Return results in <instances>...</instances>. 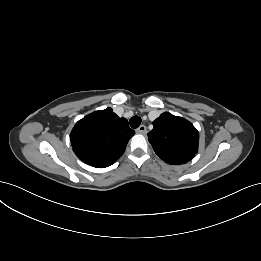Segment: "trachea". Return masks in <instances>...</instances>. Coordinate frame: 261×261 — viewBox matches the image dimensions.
<instances>
[{
  "label": "trachea",
  "instance_id": "3493384b",
  "mask_svg": "<svg viewBox=\"0 0 261 261\" xmlns=\"http://www.w3.org/2000/svg\"><path fill=\"white\" fill-rule=\"evenodd\" d=\"M130 126L132 128H138L141 124V118L139 116H133L131 119H130Z\"/></svg>",
  "mask_w": 261,
  "mask_h": 261
}]
</instances>
